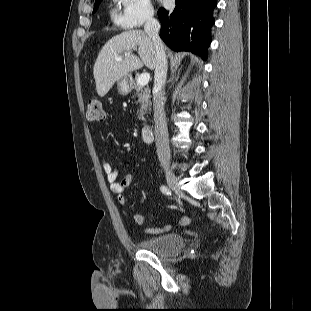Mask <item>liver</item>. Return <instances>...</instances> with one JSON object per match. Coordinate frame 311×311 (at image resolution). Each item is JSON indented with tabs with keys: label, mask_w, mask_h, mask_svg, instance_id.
I'll list each match as a JSON object with an SVG mask.
<instances>
[{
	"label": "liver",
	"mask_w": 311,
	"mask_h": 311,
	"mask_svg": "<svg viewBox=\"0 0 311 311\" xmlns=\"http://www.w3.org/2000/svg\"><path fill=\"white\" fill-rule=\"evenodd\" d=\"M137 48L139 57L132 53ZM144 65L151 70L156 67L154 45L144 31L129 30L114 36L103 46L93 67L98 95L104 97L116 81Z\"/></svg>",
	"instance_id": "6515ba94"
}]
</instances>
